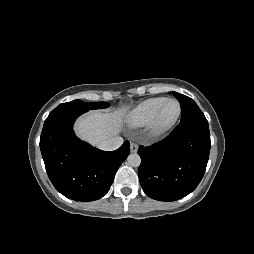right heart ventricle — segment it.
Wrapping results in <instances>:
<instances>
[{
  "label": "right heart ventricle",
  "instance_id": "e07e8e85",
  "mask_svg": "<svg viewBox=\"0 0 254 254\" xmlns=\"http://www.w3.org/2000/svg\"><path fill=\"white\" fill-rule=\"evenodd\" d=\"M165 99L166 98L158 97L144 100L128 112L126 116L127 124L135 128L147 125Z\"/></svg>",
  "mask_w": 254,
  "mask_h": 254
}]
</instances>
